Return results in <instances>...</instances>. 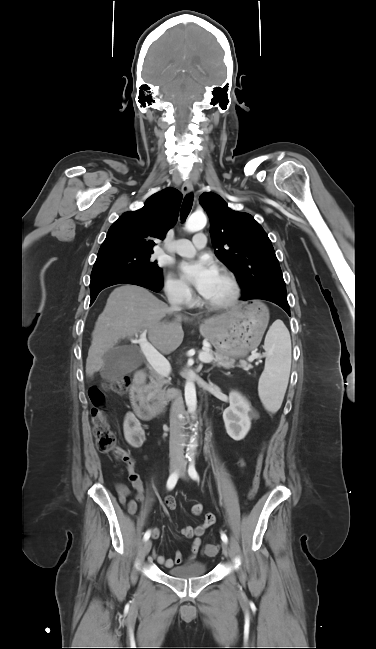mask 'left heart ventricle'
Masks as SVG:
<instances>
[{
	"instance_id": "b2bd125f",
	"label": "left heart ventricle",
	"mask_w": 376,
	"mask_h": 649,
	"mask_svg": "<svg viewBox=\"0 0 376 649\" xmlns=\"http://www.w3.org/2000/svg\"><path fill=\"white\" fill-rule=\"evenodd\" d=\"M230 294L231 286L228 279L218 272L209 290L203 296L210 302H222L226 300Z\"/></svg>"
}]
</instances>
